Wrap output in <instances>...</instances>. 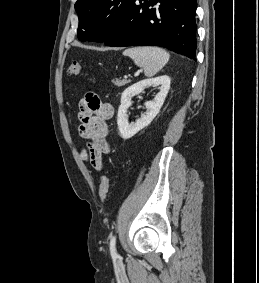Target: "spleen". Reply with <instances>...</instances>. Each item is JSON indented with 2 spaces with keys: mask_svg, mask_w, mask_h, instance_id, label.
Masks as SVG:
<instances>
[{
  "mask_svg": "<svg viewBox=\"0 0 259 283\" xmlns=\"http://www.w3.org/2000/svg\"><path fill=\"white\" fill-rule=\"evenodd\" d=\"M123 55L130 57L137 66L142 67L146 77L156 75L170 58L166 50L152 46L128 48Z\"/></svg>",
  "mask_w": 259,
  "mask_h": 283,
  "instance_id": "3e777b00",
  "label": "spleen"
}]
</instances>
